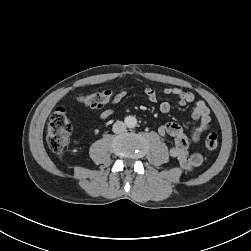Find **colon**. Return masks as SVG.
I'll return each instance as SVG.
<instances>
[{
  "mask_svg": "<svg viewBox=\"0 0 251 251\" xmlns=\"http://www.w3.org/2000/svg\"><path fill=\"white\" fill-rule=\"evenodd\" d=\"M113 98L111 90L96 91L79 97V101L90 108H100L109 103ZM72 131L71 122L63 107H58L50 116L46 140L50 150L56 155H62L69 144ZM219 139L216 132L211 131L205 138V147L209 151H215L218 147Z\"/></svg>",
  "mask_w": 251,
  "mask_h": 251,
  "instance_id": "5ec220e1",
  "label": "colon"
}]
</instances>
